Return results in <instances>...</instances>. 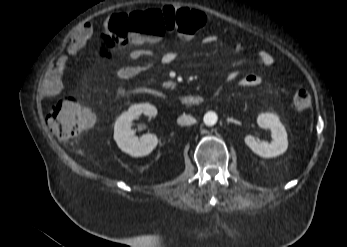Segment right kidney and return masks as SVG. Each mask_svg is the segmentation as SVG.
Listing matches in <instances>:
<instances>
[{
	"mask_svg": "<svg viewBox=\"0 0 347 247\" xmlns=\"http://www.w3.org/2000/svg\"><path fill=\"white\" fill-rule=\"evenodd\" d=\"M141 114L155 116L157 109L148 103L133 105L117 118L114 125V140L118 147L133 157L150 154L158 143L157 137L153 134H145L140 139L134 137L132 121Z\"/></svg>",
	"mask_w": 347,
	"mask_h": 247,
	"instance_id": "obj_1",
	"label": "right kidney"
}]
</instances>
